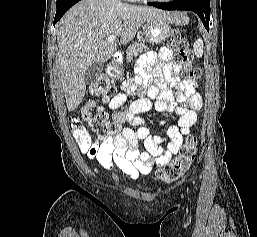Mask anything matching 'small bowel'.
<instances>
[{
  "label": "small bowel",
  "mask_w": 257,
  "mask_h": 237,
  "mask_svg": "<svg viewBox=\"0 0 257 237\" xmlns=\"http://www.w3.org/2000/svg\"><path fill=\"white\" fill-rule=\"evenodd\" d=\"M171 57L172 52L167 47L144 54L137 63L135 77L122 82L109 102V108L115 110L114 120L137 126L136 130L125 127L115 139L91 142L88 147L79 145L88 158L96 160L107 171L119 169L131 179L149 174L155 165L168 163L178 153L196 123V110L202 105L198 84L193 80L181 81L177 76L180 65L172 62ZM172 87L176 88V93ZM128 95L139 97L125 110H119ZM151 110L176 113V123L167 126L165 135L151 136L148 123L137 116ZM82 115L87 119L89 110L85 108ZM141 143L144 151H140Z\"/></svg>",
  "instance_id": "small-bowel-1"
}]
</instances>
